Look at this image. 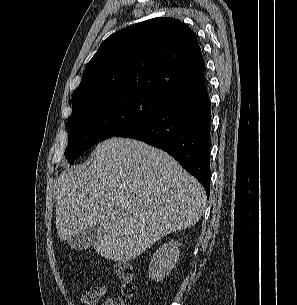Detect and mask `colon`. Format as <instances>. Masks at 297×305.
Listing matches in <instances>:
<instances>
[{
  "label": "colon",
  "instance_id": "colon-1",
  "mask_svg": "<svg viewBox=\"0 0 297 305\" xmlns=\"http://www.w3.org/2000/svg\"><path fill=\"white\" fill-rule=\"evenodd\" d=\"M117 275L122 282L121 292L116 305H129L135 293L134 267L130 263H120L117 266Z\"/></svg>",
  "mask_w": 297,
  "mask_h": 305
}]
</instances>
